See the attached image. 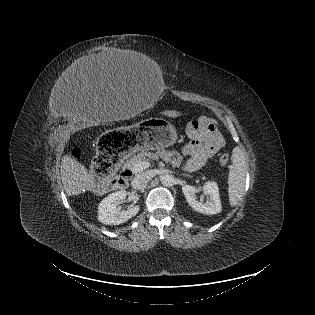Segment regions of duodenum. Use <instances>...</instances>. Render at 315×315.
I'll return each instance as SVG.
<instances>
[{"label":"duodenum","mask_w":315,"mask_h":315,"mask_svg":"<svg viewBox=\"0 0 315 315\" xmlns=\"http://www.w3.org/2000/svg\"><path fill=\"white\" fill-rule=\"evenodd\" d=\"M133 173L129 168L123 167L120 171L118 180H117V185L119 187H124L127 185L129 179L132 177Z\"/></svg>","instance_id":"1"}]
</instances>
